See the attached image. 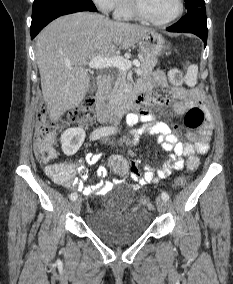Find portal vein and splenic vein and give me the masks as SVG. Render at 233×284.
Segmentation results:
<instances>
[{"label":"portal vein and splenic vein","mask_w":233,"mask_h":284,"mask_svg":"<svg viewBox=\"0 0 233 284\" xmlns=\"http://www.w3.org/2000/svg\"><path fill=\"white\" fill-rule=\"evenodd\" d=\"M132 65L140 66V62L138 60H134L131 62L128 59H125L120 56H113L110 58H103L101 56L94 57L88 63L89 68L92 69H106L110 67L118 68L120 70H129ZM71 69V67H69Z\"/></svg>","instance_id":"portal-vein-and-splenic-vein-1"}]
</instances>
